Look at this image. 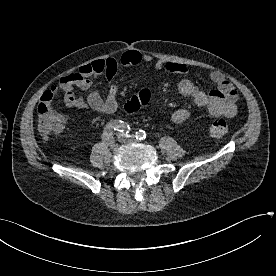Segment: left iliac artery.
Returning a JSON list of instances; mask_svg holds the SVG:
<instances>
[{
  "instance_id": "left-iliac-artery-1",
  "label": "left iliac artery",
  "mask_w": 276,
  "mask_h": 276,
  "mask_svg": "<svg viewBox=\"0 0 276 276\" xmlns=\"http://www.w3.org/2000/svg\"><path fill=\"white\" fill-rule=\"evenodd\" d=\"M135 137L138 139V140H143L146 138V132L142 129L140 130H137L136 133H135Z\"/></svg>"
}]
</instances>
